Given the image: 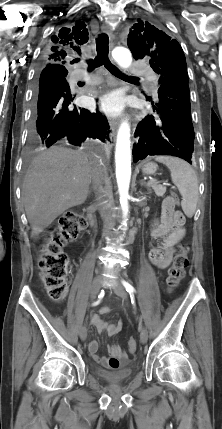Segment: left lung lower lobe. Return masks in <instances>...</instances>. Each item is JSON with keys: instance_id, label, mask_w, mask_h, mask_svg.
I'll return each instance as SVG.
<instances>
[{"instance_id": "obj_1", "label": "left lung lower lobe", "mask_w": 222, "mask_h": 429, "mask_svg": "<svg viewBox=\"0 0 222 429\" xmlns=\"http://www.w3.org/2000/svg\"><path fill=\"white\" fill-rule=\"evenodd\" d=\"M146 99L152 101L148 96ZM153 110L157 115L146 116L136 127L138 143L133 145V161L152 155H171L192 164L195 134L188 80L172 73L165 75Z\"/></svg>"}]
</instances>
